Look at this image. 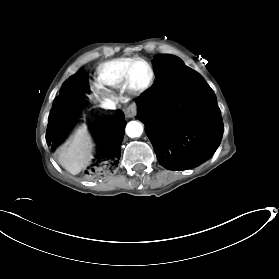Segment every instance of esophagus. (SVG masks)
Masks as SVG:
<instances>
[{
  "instance_id": "1",
  "label": "esophagus",
  "mask_w": 279,
  "mask_h": 279,
  "mask_svg": "<svg viewBox=\"0 0 279 279\" xmlns=\"http://www.w3.org/2000/svg\"><path fill=\"white\" fill-rule=\"evenodd\" d=\"M124 113L126 117L132 118L137 114V107L135 103L130 104L126 108H124Z\"/></svg>"
}]
</instances>
